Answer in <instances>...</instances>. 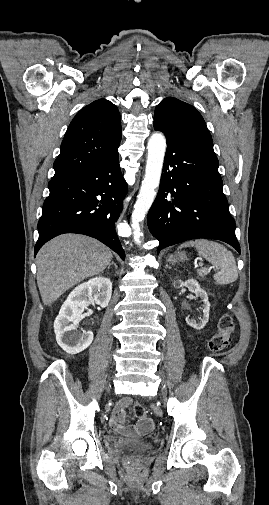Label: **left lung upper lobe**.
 I'll list each match as a JSON object with an SVG mask.
<instances>
[{
    "instance_id": "5c2ea615",
    "label": "left lung upper lobe",
    "mask_w": 269,
    "mask_h": 505,
    "mask_svg": "<svg viewBox=\"0 0 269 505\" xmlns=\"http://www.w3.org/2000/svg\"><path fill=\"white\" fill-rule=\"evenodd\" d=\"M154 120L165 125L195 129L211 137L201 114L190 104L173 97L163 99L156 106Z\"/></svg>"
}]
</instances>
